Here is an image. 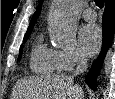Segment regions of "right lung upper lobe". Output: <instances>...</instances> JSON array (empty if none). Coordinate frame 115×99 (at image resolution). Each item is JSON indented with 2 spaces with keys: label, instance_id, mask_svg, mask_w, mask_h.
Wrapping results in <instances>:
<instances>
[{
  "label": "right lung upper lobe",
  "instance_id": "right-lung-upper-lobe-1",
  "mask_svg": "<svg viewBox=\"0 0 115 99\" xmlns=\"http://www.w3.org/2000/svg\"><path fill=\"white\" fill-rule=\"evenodd\" d=\"M42 1L43 0L40 1L39 5L37 7V10L35 11L32 19H31V22H30V25H29V28H28L26 34L31 33V30H32V28H33V26H34V24H35V22H36V20H37V18L39 16V14H40ZM110 1H112V0H106V3L110 2Z\"/></svg>",
  "mask_w": 115,
  "mask_h": 99
}]
</instances>
